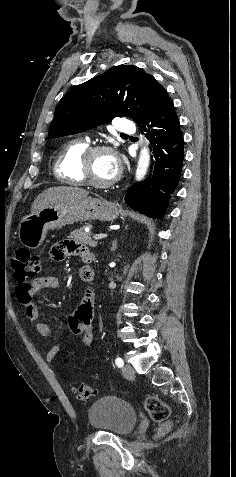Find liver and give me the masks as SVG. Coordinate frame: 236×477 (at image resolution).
Wrapping results in <instances>:
<instances>
[{
  "instance_id": "obj_1",
  "label": "liver",
  "mask_w": 236,
  "mask_h": 477,
  "mask_svg": "<svg viewBox=\"0 0 236 477\" xmlns=\"http://www.w3.org/2000/svg\"><path fill=\"white\" fill-rule=\"evenodd\" d=\"M89 192L78 187L58 186L51 187L39 194L31 206L32 214H35L49 206L86 198Z\"/></svg>"
}]
</instances>
